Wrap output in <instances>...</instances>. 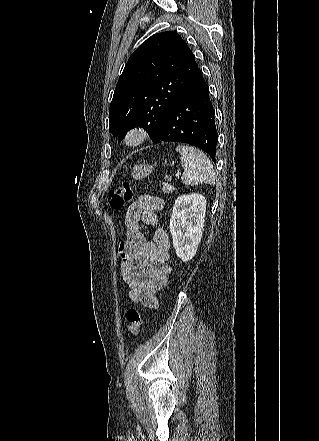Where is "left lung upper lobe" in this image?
Segmentation results:
<instances>
[{
    "label": "left lung upper lobe",
    "mask_w": 319,
    "mask_h": 441,
    "mask_svg": "<svg viewBox=\"0 0 319 441\" xmlns=\"http://www.w3.org/2000/svg\"><path fill=\"white\" fill-rule=\"evenodd\" d=\"M198 69L181 36L162 32L148 38L128 59L109 109V132L123 139L143 127L154 140L178 96Z\"/></svg>",
    "instance_id": "5c2ea615"
}]
</instances>
